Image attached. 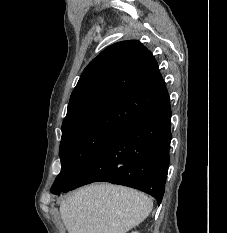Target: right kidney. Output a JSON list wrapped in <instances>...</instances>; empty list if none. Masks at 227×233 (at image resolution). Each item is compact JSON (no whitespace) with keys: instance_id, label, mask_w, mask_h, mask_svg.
I'll list each match as a JSON object with an SVG mask.
<instances>
[{"instance_id":"right-kidney-1","label":"right kidney","mask_w":227,"mask_h":233,"mask_svg":"<svg viewBox=\"0 0 227 233\" xmlns=\"http://www.w3.org/2000/svg\"><path fill=\"white\" fill-rule=\"evenodd\" d=\"M131 233H139V232H131Z\"/></svg>"}]
</instances>
